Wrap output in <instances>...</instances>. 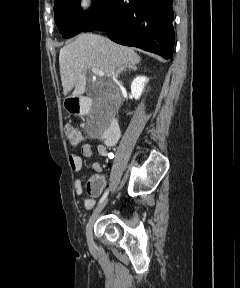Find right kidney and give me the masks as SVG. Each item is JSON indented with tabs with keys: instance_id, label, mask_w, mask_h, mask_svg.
<instances>
[{
	"instance_id": "1",
	"label": "right kidney",
	"mask_w": 240,
	"mask_h": 288,
	"mask_svg": "<svg viewBox=\"0 0 240 288\" xmlns=\"http://www.w3.org/2000/svg\"><path fill=\"white\" fill-rule=\"evenodd\" d=\"M146 82H148V78L145 76H138L132 81L131 93L135 99L140 98Z\"/></svg>"
}]
</instances>
